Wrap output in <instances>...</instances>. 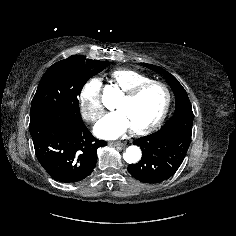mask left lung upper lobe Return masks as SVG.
Listing matches in <instances>:
<instances>
[{
    "mask_svg": "<svg viewBox=\"0 0 236 236\" xmlns=\"http://www.w3.org/2000/svg\"><path fill=\"white\" fill-rule=\"evenodd\" d=\"M143 65L151 70L157 71L158 73H162L165 76L166 81L170 85L175 95V109L181 105H190V101L185 89L173 75L161 67L147 63H143Z\"/></svg>",
    "mask_w": 236,
    "mask_h": 236,
    "instance_id": "5c2ea615",
    "label": "left lung upper lobe"
}]
</instances>
